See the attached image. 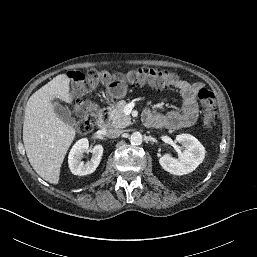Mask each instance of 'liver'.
<instances>
[{"label":"liver","instance_id":"obj_1","mask_svg":"<svg viewBox=\"0 0 257 257\" xmlns=\"http://www.w3.org/2000/svg\"><path fill=\"white\" fill-rule=\"evenodd\" d=\"M70 80L57 75L29 98L24 116L23 142L29 162L45 181L58 184L60 168L76 130L54 111L53 101L72 103Z\"/></svg>","mask_w":257,"mask_h":257}]
</instances>
